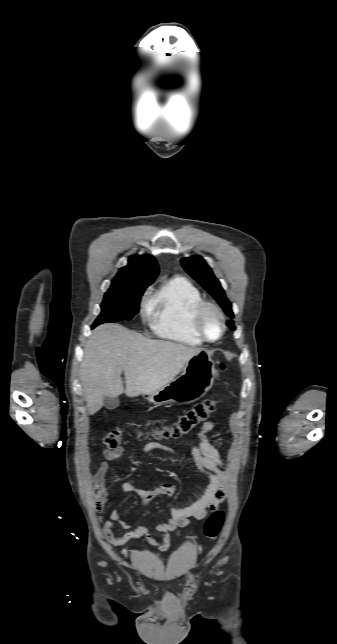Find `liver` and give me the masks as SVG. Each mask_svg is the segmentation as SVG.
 I'll return each instance as SVG.
<instances>
[{
  "label": "liver",
  "mask_w": 337,
  "mask_h": 644,
  "mask_svg": "<svg viewBox=\"0 0 337 644\" xmlns=\"http://www.w3.org/2000/svg\"><path fill=\"white\" fill-rule=\"evenodd\" d=\"M202 349L151 340L119 324L95 328L84 348L80 369L88 412H98L104 397L150 394L169 384ZM124 371V389L121 372Z\"/></svg>",
  "instance_id": "6515ba94"
}]
</instances>
